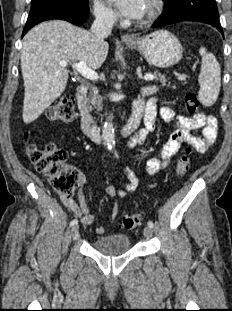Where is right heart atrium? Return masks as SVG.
I'll list each match as a JSON object with an SVG mask.
<instances>
[{
	"label": "right heart atrium",
	"mask_w": 232,
	"mask_h": 311,
	"mask_svg": "<svg viewBox=\"0 0 232 311\" xmlns=\"http://www.w3.org/2000/svg\"><path fill=\"white\" fill-rule=\"evenodd\" d=\"M93 11L98 22L105 25H113L117 20L116 13L100 0H94Z\"/></svg>",
	"instance_id": "d8ad5b80"
}]
</instances>
